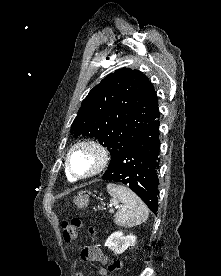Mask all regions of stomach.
Masks as SVG:
<instances>
[{
	"instance_id": "stomach-1",
	"label": "stomach",
	"mask_w": 221,
	"mask_h": 276,
	"mask_svg": "<svg viewBox=\"0 0 221 276\" xmlns=\"http://www.w3.org/2000/svg\"><path fill=\"white\" fill-rule=\"evenodd\" d=\"M74 203L79 207V208H84L88 205V196L87 195H80L74 198Z\"/></svg>"
}]
</instances>
